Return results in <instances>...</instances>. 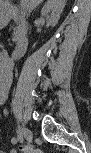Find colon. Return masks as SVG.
I'll return each mask as SVG.
<instances>
[{
  "label": "colon",
  "mask_w": 91,
  "mask_h": 153,
  "mask_svg": "<svg viewBox=\"0 0 91 153\" xmlns=\"http://www.w3.org/2000/svg\"><path fill=\"white\" fill-rule=\"evenodd\" d=\"M19 151L27 153H37V150L32 146H22L20 147Z\"/></svg>",
  "instance_id": "5ec220e1"
}]
</instances>
